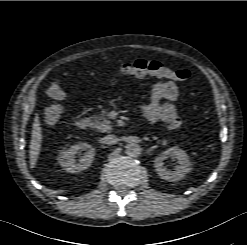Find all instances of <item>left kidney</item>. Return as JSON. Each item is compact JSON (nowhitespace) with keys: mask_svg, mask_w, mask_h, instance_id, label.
I'll return each mask as SVG.
<instances>
[{"mask_svg":"<svg viewBox=\"0 0 247 245\" xmlns=\"http://www.w3.org/2000/svg\"><path fill=\"white\" fill-rule=\"evenodd\" d=\"M169 157L178 160L179 165L175 167L174 171L168 170L164 166V160H166ZM154 167L157 174L162 179L172 182L184 178L186 174L190 172L191 162L185 151L175 146L167 149L160 156L156 157L154 160Z\"/></svg>","mask_w":247,"mask_h":245,"instance_id":"5707ae66","label":"left kidney"}]
</instances>
